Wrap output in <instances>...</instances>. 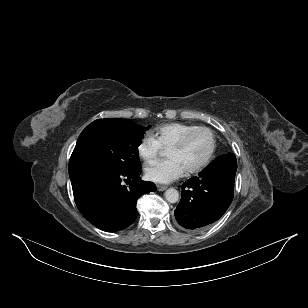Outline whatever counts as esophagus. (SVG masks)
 <instances>
[{"label":"esophagus","mask_w":308,"mask_h":308,"mask_svg":"<svg viewBox=\"0 0 308 308\" xmlns=\"http://www.w3.org/2000/svg\"><path fill=\"white\" fill-rule=\"evenodd\" d=\"M167 189V186H165V185H157V190L158 191H164V190H166Z\"/></svg>","instance_id":"obj_1"}]
</instances>
